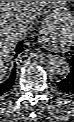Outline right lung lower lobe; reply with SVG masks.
Wrapping results in <instances>:
<instances>
[{
  "instance_id": "98d812e1",
  "label": "right lung lower lobe",
  "mask_w": 74,
  "mask_h": 122,
  "mask_svg": "<svg viewBox=\"0 0 74 122\" xmlns=\"http://www.w3.org/2000/svg\"><path fill=\"white\" fill-rule=\"evenodd\" d=\"M23 43L22 41L18 43V45L16 46V51H15V57L21 53L23 51ZM16 77V69L13 68L12 69V73L10 75L9 78H7L6 80H0V96L4 93H6L7 91L10 90V88L12 87V85L14 84V80Z\"/></svg>"
}]
</instances>
